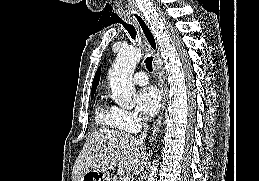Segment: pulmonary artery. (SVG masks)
Here are the masks:
<instances>
[{"instance_id": "1", "label": "pulmonary artery", "mask_w": 259, "mask_h": 181, "mask_svg": "<svg viewBox=\"0 0 259 181\" xmlns=\"http://www.w3.org/2000/svg\"><path fill=\"white\" fill-rule=\"evenodd\" d=\"M133 81L137 85H145L148 82V78H147V75L144 71H139V72L134 74Z\"/></svg>"}]
</instances>
